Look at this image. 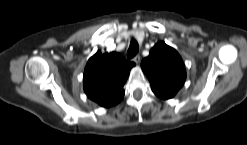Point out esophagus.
Returning a JSON list of instances; mask_svg holds the SVG:
<instances>
[{
    "mask_svg": "<svg viewBox=\"0 0 247 145\" xmlns=\"http://www.w3.org/2000/svg\"><path fill=\"white\" fill-rule=\"evenodd\" d=\"M132 61H134L135 63H139L140 61V56L139 55H136L132 58Z\"/></svg>",
    "mask_w": 247,
    "mask_h": 145,
    "instance_id": "34e87169",
    "label": "esophagus"
}]
</instances>
